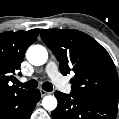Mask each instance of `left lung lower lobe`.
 <instances>
[{"label":"left lung lower lobe","mask_w":119,"mask_h":119,"mask_svg":"<svg viewBox=\"0 0 119 119\" xmlns=\"http://www.w3.org/2000/svg\"><path fill=\"white\" fill-rule=\"evenodd\" d=\"M57 108L52 112L53 119H115L118 105L101 100L87 99L73 93L56 91Z\"/></svg>","instance_id":"0a47b994"}]
</instances>
